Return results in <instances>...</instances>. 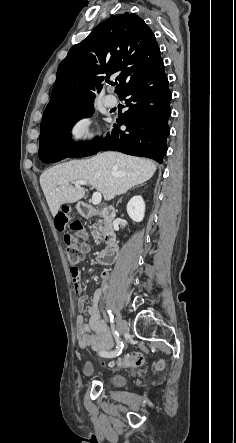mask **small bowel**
Instances as JSON below:
<instances>
[{
	"label": "small bowel",
	"instance_id": "small-bowel-1",
	"mask_svg": "<svg viewBox=\"0 0 236 443\" xmlns=\"http://www.w3.org/2000/svg\"><path fill=\"white\" fill-rule=\"evenodd\" d=\"M82 237L84 239L87 238V233L84 231L82 233ZM80 248L84 253H87L90 248L87 244L82 243ZM71 275L73 279L74 291L77 294L83 293V285L80 280V273L78 269L71 268ZM109 277V273L106 270H103L100 273V286L95 290L93 294V300L98 301L108 290V286L106 284V280ZM88 301L87 296L81 295L78 299V308L80 311L85 310L89 315V321L84 322L82 314H79L76 320L77 328H78V342L80 347L82 348H90L95 351H107L114 346V340L111 335V332L108 328L107 323L101 318L96 304L93 303L91 305L86 306Z\"/></svg>",
	"mask_w": 236,
	"mask_h": 443
}]
</instances>
